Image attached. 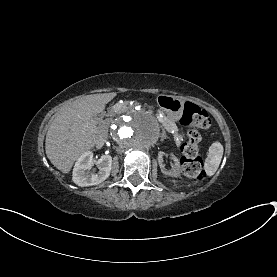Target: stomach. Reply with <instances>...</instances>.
Masks as SVG:
<instances>
[{
    "mask_svg": "<svg viewBox=\"0 0 277 277\" xmlns=\"http://www.w3.org/2000/svg\"><path fill=\"white\" fill-rule=\"evenodd\" d=\"M157 103L170 120H178L184 109V102L171 95H160Z\"/></svg>",
    "mask_w": 277,
    "mask_h": 277,
    "instance_id": "0dacf381",
    "label": "stomach"
}]
</instances>
